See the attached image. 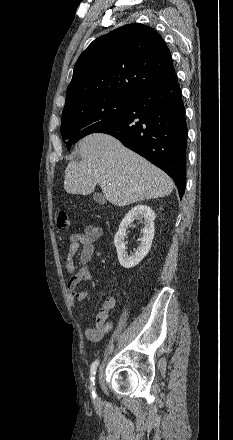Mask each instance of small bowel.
Segmentation results:
<instances>
[{
  "label": "small bowel",
  "mask_w": 233,
  "mask_h": 440,
  "mask_svg": "<svg viewBox=\"0 0 233 440\" xmlns=\"http://www.w3.org/2000/svg\"><path fill=\"white\" fill-rule=\"evenodd\" d=\"M101 228L96 225H87L81 232L73 233L69 237V248L66 256V269L70 274V279L67 284L69 299L73 305L75 302H83L87 298V291L81 290L80 285L84 281H90L94 278V274L89 267V262L94 253V243L101 237ZM82 248L79 253L81 268L77 270L75 258L79 248ZM116 305L114 297H108L100 312L95 319L94 327L85 328V336L91 341L100 340L103 336L108 334L113 328V322L108 321L109 315ZM81 319H86L87 315L84 312L80 313Z\"/></svg>",
  "instance_id": "obj_1"
}]
</instances>
